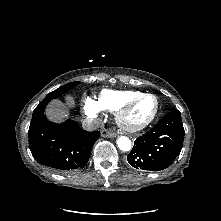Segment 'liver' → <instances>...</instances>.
<instances>
[{
  "label": "liver",
  "mask_w": 221,
  "mask_h": 221,
  "mask_svg": "<svg viewBox=\"0 0 221 221\" xmlns=\"http://www.w3.org/2000/svg\"><path fill=\"white\" fill-rule=\"evenodd\" d=\"M66 100L69 105L74 104V100L72 97L68 96ZM46 115L50 120L54 122H62L63 120L68 118L69 112L62 102L54 100L48 106L46 110Z\"/></svg>",
  "instance_id": "1"
}]
</instances>
